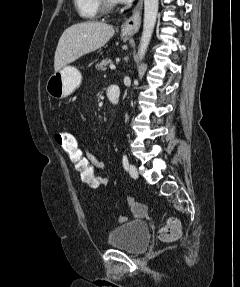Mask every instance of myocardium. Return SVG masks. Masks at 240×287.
<instances>
[{"mask_svg": "<svg viewBox=\"0 0 240 287\" xmlns=\"http://www.w3.org/2000/svg\"><path fill=\"white\" fill-rule=\"evenodd\" d=\"M102 9L106 11L113 10L116 7L115 1L114 0H99Z\"/></svg>", "mask_w": 240, "mask_h": 287, "instance_id": "obj_1", "label": "myocardium"}]
</instances>
